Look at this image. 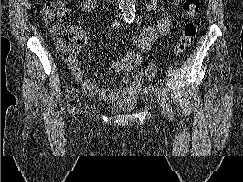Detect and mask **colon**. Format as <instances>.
<instances>
[{
	"mask_svg": "<svg viewBox=\"0 0 243 182\" xmlns=\"http://www.w3.org/2000/svg\"><path fill=\"white\" fill-rule=\"evenodd\" d=\"M200 8V0H184L183 10L187 15L182 34L174 49L176 55L183 54L192 44L197 34L195 16ZM41 14L48 30L53 35V41L60 56L65 60L75 57L78 40L75 30L70 25V12L65 0H54L45 4ZM158 73L156 65L144 68L140 75L144 79H152Z\"/></svg>",
	"mask_w": 243,
	"mask_h": 182,
	"instance_id": "5ec220e1",
	"label": "colon"
}]
</instances>
